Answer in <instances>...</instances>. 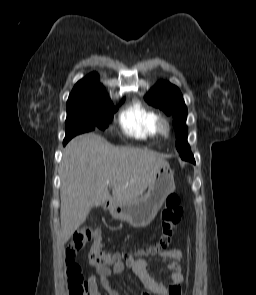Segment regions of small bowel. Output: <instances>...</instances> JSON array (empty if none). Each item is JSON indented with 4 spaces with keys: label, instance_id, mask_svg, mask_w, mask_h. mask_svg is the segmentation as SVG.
<instances>
[{
    "label": "small bowel",
    "instance_id": "small-bowel-1",
    "mask_svg": "<svg viewBox=\"0 0 256 295\" xmlns=\"http://www.w3.org/2000/svg\"><path fill=\"white\" fill-rule=\"evenodd\" d=\"M163 258L170 260L167 269L170 272V284L165 285L163 282L156 280L148 270L147 261L144 259H135L130 253L123 252L121 258L114 261L111 267H97L96 273L88 278V287L91 295H100L97 276L99 282L106 295H119L113 289L108 277L111 274H120L128 267L140 279L146 289L143 295H181V285L184 282V276L181 272V262L183 260V252L179 248L171 249L161 255Z\"/></svg>",
    "mask_w": 256,
    "mask_h": 295
}]
</instances>
